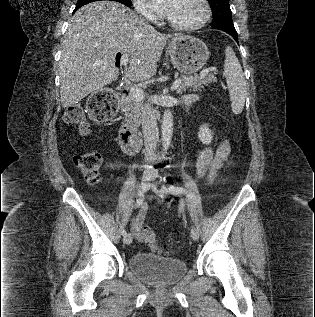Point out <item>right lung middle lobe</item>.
<instances>
[{
	"instance_id": "1",
	"label": "right lung middle lobe",
	"mask_w": 315,
	"mask_h": 317,
	"mask_svg": "<svg viewBox=\"0 0 315 317\" xmlns=\"http://www.w3.org/2000/svg\"><path fill=\"white\" fill-rule=\"evenodd\" d=\"M94 1H99V0H78L77 6H83L85 4L94 2ZM112 1H117L120 2L126 6H131V0H112Z\"/></svg>"
}]
</instances>
